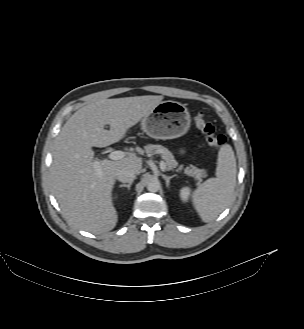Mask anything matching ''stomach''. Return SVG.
<instances>
[{
  "instance_id": "1",
  "label": "stomach",
  "mask_w": 304,
  "mask_h": 329,
  "mask_svg": "<svg viewBox=\"0 0 304 329\" xmlns=\"http://www.w3.org/2000/svg\"><path fill=\"white\" fill-rule=\"evenodd\" d=\"M190 114L185 105L176 101L160 102L141 122L143 131L155 139H174L190 127Z\"/></svg>"
}]
</instances>
